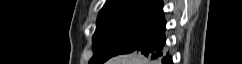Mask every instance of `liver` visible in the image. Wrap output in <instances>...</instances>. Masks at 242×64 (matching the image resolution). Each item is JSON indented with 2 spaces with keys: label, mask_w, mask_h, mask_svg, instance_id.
I'll list each match as a JSON object with an SVG mask.
<instances>
[{
  "label": "liver",
  "mask_w": 242,
  "mask_h": 64,
  "mask_svg": "<svg viewBox=\"0 0 242 64\" xmlns=\"http://www.w3.org/2000/svg\"><path fill=\"white\" fill-rule=\"evenodd\" d=\"M143 55L134 52L127 55H119L107 61V64H151Z\"/></svg>",
  "instance_id": "obj_1"
}]
</instances>
